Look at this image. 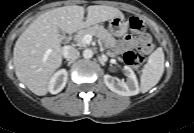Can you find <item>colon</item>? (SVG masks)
<instances>
[{
	"instance_id": "1",
	"label": "colon",
	"mask_w": 194,
	"mask_h": 133,
	"mask_svg": "<svg viewBox=\"0 0 194 133\" xmlns=\"http://www.w3.org/2000/svg\"><path fill=\"white\" fill-rule=\"evenodd\" d=\"M129 25L134 34H142L145 31L143 22L137 17H131ZM124 60L129 66L137 69L144 60V54L141 52L140 47L135 48L134 50L127 51L124 54Z\"/></svg>"
}]
</instances>
